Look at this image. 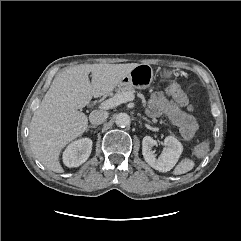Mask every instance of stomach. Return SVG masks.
Listing matches in <instances>:
<instances>
[{
	"mask_svg": "<svg viewBox=\"0 0 241 241\" xmlns=\"http://www.w3.org/2000/svg\"><path fill=\"white\" fill-rule=\"evenodd\" d=\"M175 70H164L161 74L163 79H170L176 76ZM154 78V72L149 64H138L134 67L123 79L120 81L119 86L132 85L137 89L148 88Z\"/></svg>",
	"mask_w": 241,
	"mask_h": 241,
	"instance_id": "obj_1",
	"label": "stomach"
}]
</instances>
